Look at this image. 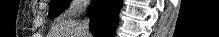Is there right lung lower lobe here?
Segmentation results:
<instances>
[{
    "instance_id": "98d812e1",
    "label": "right lung lower lobe",
    "mask_w": 219,
    "mask_h": 37,
    "mask_svg": "<svg viewBox=\"0 0 219 37\" xmlns=\"http://www.w3.org/2000/svg\"><path fill=\"white\" fill-rule=\"evenodd\" d=\"M123 0H93L87 15L91 18L90 31L94 37H114Z\"/></svg>"
}]
</instances>
